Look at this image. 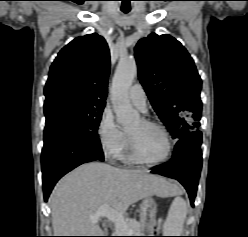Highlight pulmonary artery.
Returning a JSON list of instances; mask_svg holds the SVG:
<instances>
[{
  "mask_svg": "<svg viewBox=\"0 0 248 237\" xmlns=\"http://www.w3.org/2000/svg\"><path fill=\"white\" fill-rule=\"evenodd\" d=\"M130 101L141 111L146 110V93L140 83H135L128 91Z\"/></svg>",
  "mask_w": 248,
  "mask_h": 237,
  "instance_id": "1",
  "label": "pulmonary artery"
}]
</instances>
